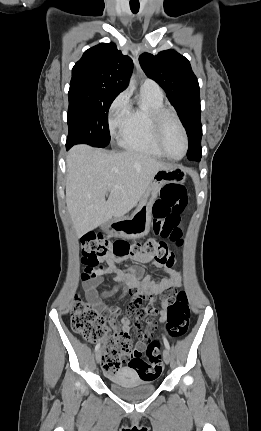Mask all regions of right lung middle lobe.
<instances>
[{
  "instance_id": "dd1d6c3e",
  "label": "right lung middle lobe",
  "mask_w": 261,
  "mask_h": 431,
  "mask_svg": "<svg viewBox=\"0 0 261 431\" xmlns=\"http://www.w3.org/2000/svg\"><path fill=\"white\" fill-rule=\"evenodd\" d=\"M119 92L84 83H70L66 146L78 143L105 147L110 142L108 110Z\"/></svg>"
}]
</instances>
